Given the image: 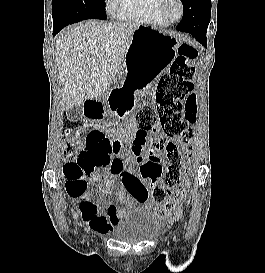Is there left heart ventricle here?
Returning a JSON list of instances; mask_svg holds the SVG:
<instances>
[{
    "mask_svg": "<svg viewBox=\"0 0 265 273\" xmlns=\"http://www.w3.org/2000/svg\"><path fill=\"white\" fill-rule=\"evenodd\" d=\"M166 14L169 18L175 19L180 14V6L177 0H168L165 6Z\"/></svg>",
    "mask_w": 265,
    "mask_h": 273,
    "instance_id": "obj_1",
    "label": "left heart ventricle"
}]
</instances>
